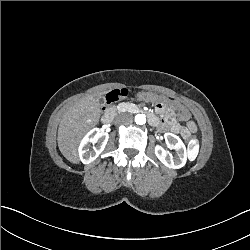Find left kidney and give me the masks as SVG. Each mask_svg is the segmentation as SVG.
<instances>
[{
    "mask_svg": "<svg viewBox=\"0 0 250 250\" xmlns=\"http://www.w3.org/2000/svg\"><path fill=\"white\" fill-rule=\"evenodd\" d=\"M164 138L170 147L177 152V157H173L172 154L168 156V152L163 147L156 145L155 155L157 158L168 168L180 169L185 166L187 152L182 140L177 135L169 132L164 134Z\"/></svg>",
    "mask_w": 250,
    "mask_h": 250,
    "instance_id": "obj_1",
    "label": "left kidney"
}]
</instances>
